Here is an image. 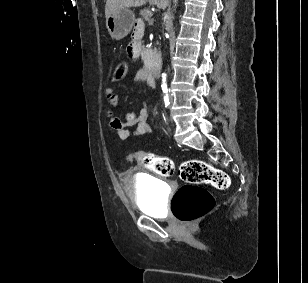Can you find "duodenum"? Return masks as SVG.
I'll use <instances>...</instances> for the list:
<instances>
[{
    "mask_svg": "<svg viewBox=\"0 0 308 283\" xmlns=\"http://www.w3.org/2000/svg\"><path fill=\"white\" fill-rule=\"evenodd\" d=\"M148 50H143V57L145 62H149V68L154 69L156 67H160L162 62L161 55L156 52L154 48L147 47Z\"/></svg>",
    "mask_w": 308,
    "mask_h": 283,
    "instance_id": "duodenum-1",
    "label": "duodenum"
}]
</instances>
